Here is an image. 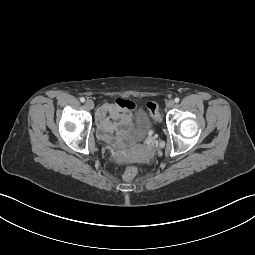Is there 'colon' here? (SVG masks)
<instances>
[{
    "instance_id": "5ec220e1",
    "label": "colon",
    "mask_w": 255,
    "mask_h": 255,
    "mask_svg": "<svg viewBox=\"0 0 255 255\" xmlns=\"http://www.w3.org/2000/svg\"><path fill=\"white\" fill-rule=\"evenodd\" d=\"M147 109L155 121H160L158 105L155 102H148ZM137 174V168L134 165H127L123 173V180L126 182L132 181Z\"/></svg>"
}]
</instances>
